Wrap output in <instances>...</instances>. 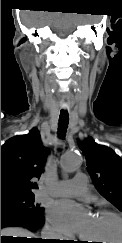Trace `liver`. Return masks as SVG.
<instances>
[{
    "instance_id": "liver-1",
    "label": "liver",
    "mask_w": 122,
    "mask_h": 243,
    "mask_svg": "<svg viewBox=\"0 0 122 243\" xmlns=\"http://www.w3.org/2000/svg\"><path fill=\"white\" fill-rule=\"evenodd\" d=\"M1 236L34 238L35 235L23 228L9 227L1 230Z\"/></svg>"
}]
</instances>
